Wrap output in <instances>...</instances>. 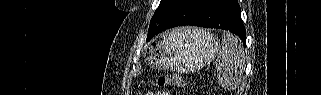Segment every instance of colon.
Returning a JSON list of instances; mask_svg holds the SVG:
<instances>
[{"label":"colon","mask_w":321,"mask_h":95,"mask_svg":"<svg viewBox=\"0 0 321 95\" xmlns=\"http://www.w3.org/2000/svg\"><path fill=\"white\" fill-rule=\"evenodd\" d=\"M153 84L157 86H183L185 85V80L182 76L178 74L171 75H158L154 80Z\"/></svg>","instance_id":"5ec220e1"}]
</instances>
